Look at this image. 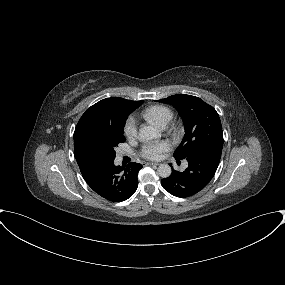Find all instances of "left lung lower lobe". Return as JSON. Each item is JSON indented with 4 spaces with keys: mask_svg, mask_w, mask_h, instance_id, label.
I'll list each match as a JSON object with an SVG mask.
<instances>
[{
    "mask_svg": "<svg viewBox=\"0 0 285 285\" xmlns=\"http://www.w3.org/2000/svg\"><path fill=\"white\" fill-rule=\"evenodd\" d=\"M221 152L222 149L212 148L189 155L185 158L188 168L184 172L173 170L169 177L161 180V185L170 194L181 198L198 193L213 178Z\"/></svg>",
    "mask_w": 285,
    "mask_h": 285,
    "instance_id": "left-lung-lower-lobe-1",
    "label": "left lung lower lobe"
}]
</instances>
